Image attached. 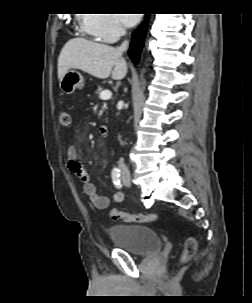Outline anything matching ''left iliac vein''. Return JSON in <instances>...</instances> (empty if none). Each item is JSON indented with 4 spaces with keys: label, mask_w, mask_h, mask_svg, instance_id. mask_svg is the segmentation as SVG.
Returning a JSON list of instances; mask_svg holds the SVG:
<instances>
[{
    "label": "left iliac vein",
    "mask_w": 252,
    "mask_h": 303,
    "mask_svg": "<svg viewBox=\"0 0 252 303\" xmlns=\"http://www.w3.org/2000/svg\"><path fill=\"white\" fill-rule=\"evenodd\" d=\"M122 182L126 187H129L131 185L130 179H125V177H122Z\"/></svg>",
    "instance_id": "4c4485c4"
}]
</instances>
